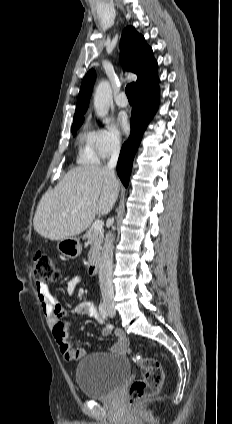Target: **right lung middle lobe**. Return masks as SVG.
Instances as JSON below:
<instances>
[{"label": "right lung middle lobe", "mask_w": 232, "mask_h": 424, "mask_svg": "<svg viewBox=\"0 0 232 424\" xmlns=\"http://www.w3.org/2000/svg\"><path fill=\"white\" fill-rule=\"evenodd\" d=\"M83 121H84V118L74 120L72 129H71L73 136H75L77 128L82 125Z\"/></svg>", "instance_id": "dd1d6c3e"}]
</instances>
